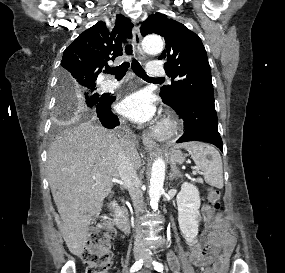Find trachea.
<instances>
[{"label":"trachea","mask_w":285,"mask_h":273,"mask_svg":"<svg viewBox=\"0 0 285 273\" xmlns=\"http://www.w3.org/2000/svg\"><path fill=\"white\" fill-rule=\"evenodd\" d=\"M125 52L127 55H131L132 56V46L130 44H126L125 46ZM130 66L129 62H124L123 64L117 66V67H113V68H106L104 70V73H109V74H113L115 76L116 79H122L128 68ZM131 67L133 72L140 78L145 79V80H156V81H162L163 79L161 78H150L146 72L144 71V69L141 67L140 63L132 58L131 61Z\"/></svg>","instance_id":"3493384b"}]
</instances>
